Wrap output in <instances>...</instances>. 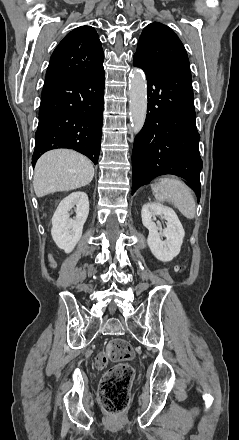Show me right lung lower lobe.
<instances>
[{
  "mask_svg": "<svg viewBox=\"0 0 239 440\" xmlns=\"http://www.w3.org/2000/svg\"><path fill=\"white\" fill-rule=\"evenodd\" d=\"M104 68L87 76L45 79L32 164L46 151L76 150L98 163L102 134Z\"/></svg>",
  "mask_w": 239,
  "mask_h": 440,
  "instance_id": "1",
  "label": "right lung lower lobe"
}]
</instances>
